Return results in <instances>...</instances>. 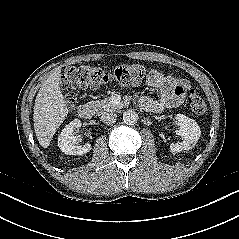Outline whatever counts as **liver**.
<instances>
[{"label": "liver", "instance_id": "obj_1", "mask_svg": "<svg viewBox=\"0 0 239 239\" xmlns=\"http://www.w3.org/2000/svg\"><path fill=\"white\" fill-rule=\"evenodd\" d=\"M61 69L55 68L41 85L34 105V131L43 148H47L68 115L67 104L60 89Z\"/></svg>", "mask_w": 239, "mask_h": 239}]
</instances>
